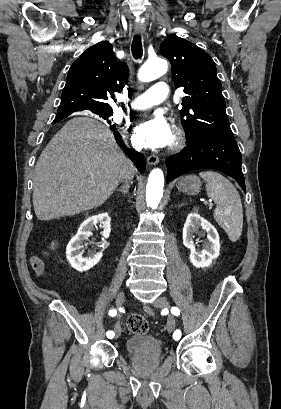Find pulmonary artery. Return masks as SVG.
<instances>
[{"instance_id": "1", "label": "pulmonary artery", "mask_w": 281, "mask_h": 409, "mask_svg": "<svg viewBox=\"0 0 281 409\" xmlns=\"http://www.w3.org/2000/svg\"><path fill=\"white\" fill-rule=\"evenodd\" d=\"M169 84L167 81H154V90H145L143 97L137 95L134 99L135 108L139 110L148 109L164 102V99H170L171 92L167 90Z\"/></svg>"}]
</instances>
